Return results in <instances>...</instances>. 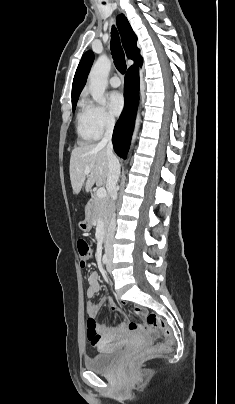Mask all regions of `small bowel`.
<instances>
[{"label": "small bowel", "instance_id": "1", "mask_svg": "<svg viewBox=\"0 0 235 404\" xmlns=\"http://www.w3.org/2000/svg\"><path fill=\"white\" fill-rule=\"evenodd\" d=\"M99 276L96 272H92L89 274L87 278V288H86V295L89 298H92L96 293H98L100 286H99ZM107 303L111 310L114 312L119 313L124 317V322L118 324L117 326H109L106 324L95 323L94 330L97 334V341L99 340V347L105 346L106 343L115 341L117 344L121 343L122 340L130 333V328L128 324V320L124 313L119 310L113 302L108 298H103L99 302L93 303L89 302L87 304V313L89 316L88 320H94L96 314L98 313L99 309ZM87 326V330H88Z\"/></svg>", "mask_w": 235, "mask_h": 404}]
</instances>
